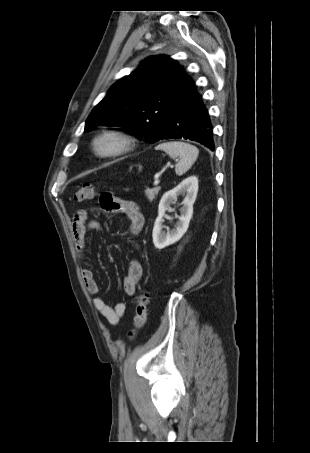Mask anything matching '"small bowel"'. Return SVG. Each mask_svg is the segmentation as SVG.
I'll return each instance as SVG.
<instances>
[{"label":"small bowel","mask_w":310,"mask_h":453,"mask_svg":"<svg viewBox=\"0 0 310 453\" xmlns=\"http://www.w3.org/2000/svg\"><path fill=\"white\" fill-rule=\"evenodd\" d=\"M104 211L112 213H123L129 222L130 234L136 236L142 230L145 218L138 205L131 201L114 198V203L110 209ZM91 209L83 208L76 212L72 221V234L75 246L82 260L86 259V234L89 230H99L100 224L96 221H89ZM138 251V245L133 244ZM143 274V265L136 259H131L128 264V272L123 281V288L127 295L133 296L138 287V283ZM82 279L87 291L94 295L93 305L96 311L101 314L111 325H116L124 316L126 305L123 302L116 303L113 307L109 306L104 299L97 297L99 285L90 269L84 268L81 271Z\"/></svg>","instance_id":"small-bowel-1"}]
</instances>
